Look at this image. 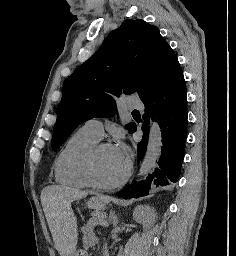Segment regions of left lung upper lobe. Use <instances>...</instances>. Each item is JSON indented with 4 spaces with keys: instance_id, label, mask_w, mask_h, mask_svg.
<instances>
[{
    "instance_id": "5c2ea615",
    "label": "left lung upper lobe",
    "mask_w": 236,
    "mask_h": 256,
    "mask_svg": "<svg viewBox=\"0 0 236 256\" xmlns=\"http://www.w3.org/2000/svg\"><path fill=\"white\" fill-rule=\"evenodd\" d=\"M179 68L176 54L157 27L141 19L126 20L68 78L52 149L56 151L81 123L114 115L121 95L137 93L144 100ZM135 126L126 125L130 133Z\"/></svg>"
}]
</instances>
